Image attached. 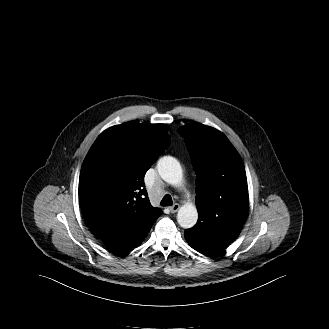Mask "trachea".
Returning a JSON list of instances; mask_svg holds the SVG:
<instances>
[{
	"instance_id": "1",
	"label": "trachea",
	"mask_w": 329,
	"mask_h": 329,
	"mask_svg": "<svg viewBox=\"0 0 329 329\" xmlns=\"http://www.w3.org/2000/svg\"><path fill=\"white\" fill-rule=\"evenodd\" d=\"M161 206H171L173 204L172 198L170 195H165L161 200Z\"/></svg>"
}]
</instances>
